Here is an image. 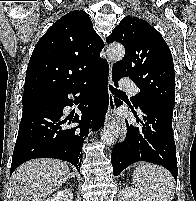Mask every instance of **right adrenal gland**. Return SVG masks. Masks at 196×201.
<instances>
[{
    "mask_svg": "<svg viewBox=\"0 0 196 201\" xmlns=\"http://www.w3.org/2000/svg\"><path fill=\"white\" fill-rule=\"evenodd\" d=\"M72 177H74V175H73V174H70V175H69V178H72Z\"/></svg>",
    "mask_w": 196,
    "mask_h": 201,
    "instance_id": "right-adrenal-gland-1",
    "label": "right adrenal gland"
}]
</instances>
